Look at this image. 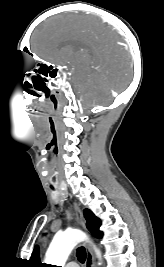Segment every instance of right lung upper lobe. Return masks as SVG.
<instances>
[{"mask_svg": "<svg viewBox=\"0 0 164 267\" xmlns=\"http://www.w3.org/2000/svg\"><path fill=\"white\" fill-rule=\"evenodd\" d=\"M30 263L34 267H41V263L39 262V248H38V246H36L34 251H33V254H32L31 259H30Z\"/></svg>", "mask_w": 164, "mask_h": 267, "instance_id": "1", "label": "right lung upper lobe"}]
</instances>
